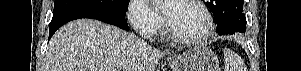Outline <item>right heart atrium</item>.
Returning a JSON list of instances; mask_svg holds the SVG:
<instances>
[{
	"instance_id": "d8ad5b80",
	"label": "right heart atrium",
	"mask_w": 301,
	"mask_h": 71,
	"mask_svg": "<svg viewBox=\"0 0 301 71\" xmlns=\"http://www.w3.org/2000/svg\"><path fill=\"white\" fill-rule=\"evenodd\" d=\"M128 18L137 33L145 38L156 36L162 27V19L145 0L130 3Z\"/></svg>"
}]
</instances>
